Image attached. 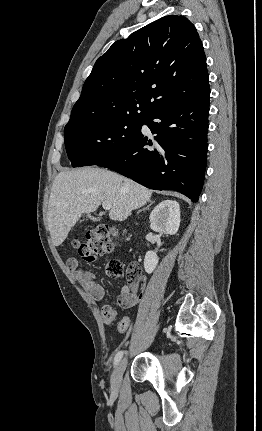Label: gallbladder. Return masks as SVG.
Here are the masks:
<instances>
[{
	"label": "gallbladder",
	"instance_id": "gallbladder-1",
	"mask_svg": "<svg viewBox=\"0 0 262 431\" xmlns=\"http://www.w3.org/2000/svg\"><path fill=\"white\" fill-rule=\"evenodd\" d=\"M91 219H93V220H96V218L95 217H93V216H90V215H88Z\"/></svg>",
	"mask_w": 262,
	"mask_h": 431
}]
</instances>
